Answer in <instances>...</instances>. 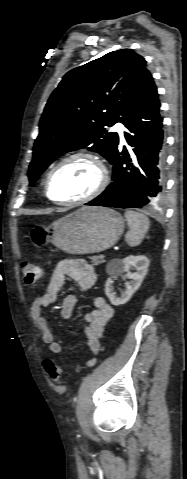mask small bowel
I'll return each instance as SVG.
<instances>
[{"instance_id":"obj_1","label":"small bowel","mask_w":187,"mask_h":479,"mask_svg":"<svg viewBox=\"0 0 187 479\" xmlns=\"http://www.w3.org/2000/svg\"><path fill=\"white\" fill-rule=\"evenodd\" d=\"M67 278L73 280L81 290L85 291L94 285L96 274L93 267L83 259H63L56 264L44 292L35 297L30 307L31 318L41 333L42 341L47 345L50 352L54 354L60 353L62 347L55 340L42 313V309L57 300ZM77 300L78 298L75 294H69L65 297L61 306V316L64 319H71ZM94 307L93 311L84 316L83 330L88 338L91 352L96 355L100 351L101 334L113 317L114 310L102 296L94 298ZM95 363L96 359L92 358L87 362V366L92 367Z\"/></svg>"}]
</instances>
